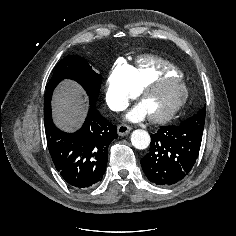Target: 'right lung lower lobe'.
Here are the masks:
<instances>
[{
  "label": "right lung lower lobe",
  "mask_w": 236,
  "mask_h": 236,
  "mask_svg": "<svg viewBox=\"0 0 236 236\" xmlns=\"http://www.w3.org/2000/svg\"><path fill=\"white\" fill-rule=\"evenodd\" d=\"M48 149L62 178L75 189L87 190L102 180L108 161V147L117 138V127L96 109L89 108L82 127L74 133L58 129L51 106L44 107Z\"/></svg>",
  "instance_id": "98d812e1"
}]
</instances>
